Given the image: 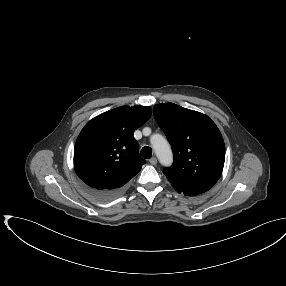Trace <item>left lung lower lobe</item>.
I'll use <instances>...</instances> for the list:
<instances>
[{
	"label": "left lung lower lobe",
	"instance_id": "1",
	"mask_svg": "<svg viewBox=\"0 0 286 286\" xmlns=\"http://www.w3.org/2000/svg\"><path fill=\"white\" fill-rule=\"evenodd\" d=\"M179 193H181V192H179ZM184 195H186V194H184ZM191 195H196V194H188V195H186V196H191Z\"/></svg>",
	"mask_w": 286,
	"mask_h": 286
}]
</instances>
